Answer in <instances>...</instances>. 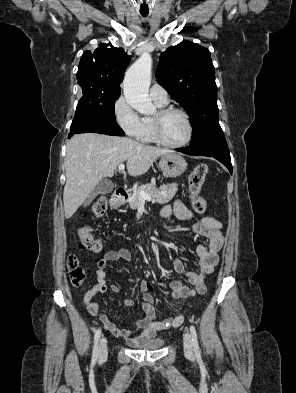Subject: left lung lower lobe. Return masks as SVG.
<instances>
[{"instance_id": "1", "label": "left lung lower lobe", "mask_w": 296, "mask_h": 393, "mask_svg": "<svg viewBox=\"0 0 296 393\" xmlns=\"http://www.w3.org/2000/svg\"><path fill=\"white\" fill-rule=\"evenodd\" d=\"M176 151L197 156H209L223 163L232 174V164L225 138L216 139L198 146L177 148Z\"/></svg>"}]
</instances>
